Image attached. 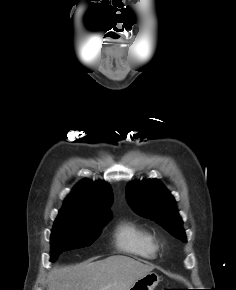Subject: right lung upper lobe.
I'll use <instances>...</instances> for the list:
<instances>
[{
  "instance_id": "1",
  "label": "right lung upper lobe",
  "mask_w": 236,
  "mask_h": 290,
  "mask_svg": "<svg viewBox=\"0 0 236 290\" xmlns=\"http://www.w3.org/2000/svg\"><path fill=\"white\" fill-rule=\"evenodd\" d=\"M113 193L107 183L82 181L64 201L58 217L85 219L95 216L110 215Z\"/></svg>"
}]
</instances>
